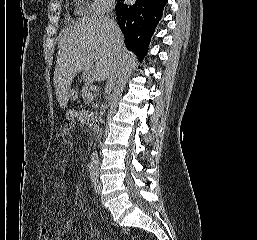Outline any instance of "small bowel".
<instances>
[{
  "label": "small bowel",
  "mask_w": 257,
  "mask_h": 240,
  "mask_svg": "<svg viewBox=\"0 0 257 240\" xmlns=\"http://www.w3.org/2000/svg\"><path fill=\"white\" fill-rule=\"evenodd\" d=\"M72 227V220L71 219H63L60 228L57 231L58 238L56 240H60V237L66 235Z\"/></svg>",
  "instance_id": "c3829d8e"
}]
</instances>
